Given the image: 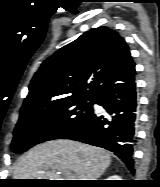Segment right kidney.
Returning a JSON list of instances; mask_svg holds the SVG:
<instances>
[{"label": "right kidney", "instance_id": "right-kidney-1", "mask_svg": "<svg viewBox=\"0 0 160 187\" xmlns=\"http://www.w3.org/2000/svg\"><path fill=\"white\" fill-rule=\"evenodd\" d=\"M106 180H121V178L117 175H113V176H110L109 178H107Z\"/></svg>", "mask_w": 160, "mask_h": 187}]
</instances>
